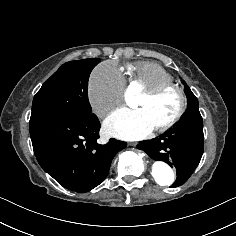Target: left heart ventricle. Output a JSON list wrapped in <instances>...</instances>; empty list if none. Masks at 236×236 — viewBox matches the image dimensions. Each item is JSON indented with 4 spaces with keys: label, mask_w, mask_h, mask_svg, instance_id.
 <instances>
[{
    "label": "left heart ventricle",
    "mask_w": 236,
    "mask_h": 236,
    "mask_svg": "<svg viewBox=\"0 0 236 236\" xmlns=\"http://www.w3.org/2000/svg\"><path fill=\"white\" fill-rule=\"evenodd\" d=\"M128 101L146 112L153 129L164 125L178 109V98L173 92H167L155 100H148L141 94L136 98L128 97Z\"/></svg>",
    "instance_id": "obj_1"
}]
</instances>
